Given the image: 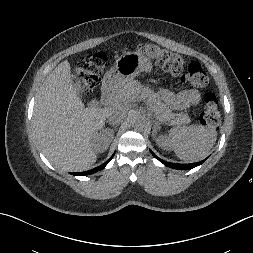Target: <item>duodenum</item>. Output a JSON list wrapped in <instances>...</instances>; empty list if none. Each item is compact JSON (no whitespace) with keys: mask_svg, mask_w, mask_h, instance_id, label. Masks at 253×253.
Returning <instances> with one entry per match:
<instances>
[{"mask_svg":"<svg viewBox=\"0 0 253 253\" xmlns=\"http://www.w3.org/2000/svg\"><path fill=\"white\" fill-rule=\"evenodd\" d=\"M114 96V79L113 77L106 79L103 82L101 102L105 107H110L113 104Z\"/></svg>","mask_w":253,"mask_h":253,"instance_id":"duodenum-1","label":"duodenum"}]
</instances>
